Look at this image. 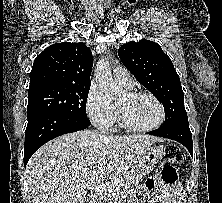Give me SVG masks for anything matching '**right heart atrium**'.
<instances>
[{"label":"right heart atrium","mask_w":222,"mask_h":203,"mask_svg":"<svg viewBox=\"0 0 222 203\" xmlns=\"http://www.w3.org/2000/svg\"><path fill=\"white\" fill-rule=\"evenodd\" d=\"M90 120L100 129L108 130L117 117L116 106L97 88H91L86 99Z\"/></svg>","instance_id":"right-heart-atrium-1"}]
</instances>
